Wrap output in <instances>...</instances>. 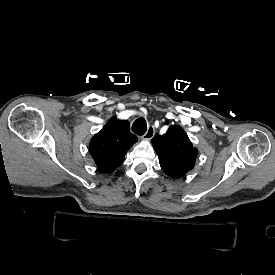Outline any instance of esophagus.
<instances>
[{
  "instance_id": "1",
  "label": "esophagus",
  "mask_w": 275,
  "mask_h": 275,
  "mask_svg": "<svg viewBox=\"0 0 275 275\" xmlns=\"http://www.w3.org/2000/svg\"><path fill=\"white\" fill-rule=\"evenodd\" d=\"M155 129L153 125H150L147 132L143 135V140L149 141L154 137Z\"/></svg>"
}]
</instances>
